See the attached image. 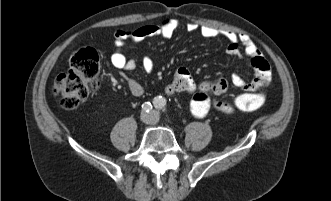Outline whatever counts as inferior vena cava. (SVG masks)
Segmentation results:
<instances>
[{
  "mask_svg": "<svg viewBox=\"0 0 331 201\" xmlns=\"http://www.w3.org/2000/svg\"><path fill=\"white\" fill-rule=\"evenodd\" d=\"M143 121H144L145 123L152 124V123H155V122H156V119H143Z\"/></svg>",
  "mask_w": 331,
  "mask_h": 201,
  "instance_id": "602c4592",
  "label": "inferior vena cava"
}]
</instances>
